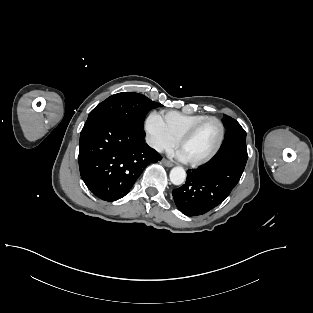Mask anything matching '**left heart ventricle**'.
<instances>
[{"label": "left heart ventricle", "mask_w": 313, "mask_h": 313, "mask_svg": "<svg viewBox=\"0 0 313 313\" xmlns=\"http://www.w3.org/2000/svg\"><path fill=\"white\" fill-rule=\"evenodd\" d=\"M219 125L215 121L205 123L179 150L187 160H198L207 156L219 138Z\"/></svg>", "instance_id": "1"}]
</instances>
